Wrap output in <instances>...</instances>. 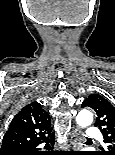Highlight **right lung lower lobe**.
I'll return each mask as SVG.
<instances>
[{"mask_svg": "<svg viewBox=\"0 0 115 155\" xmlns=\"http://www.w3.org/2000/svg\"><path fill=\"white\" fill-rule=\"evenodd\" d=\"M53 137H50L45 141H39V142H34V143L24 145L20 148L7 151L2 155H48V153H45L44 151H40L41 148L39 147V145L42 143H48L50 140L53 139ZM45 148L49 149V144H46Z\"/></svg>", "mask_w": 115, "mask_h": 155, "instance_id": "obj_1", "label": "right lung lower lobe"}]
</instances>
